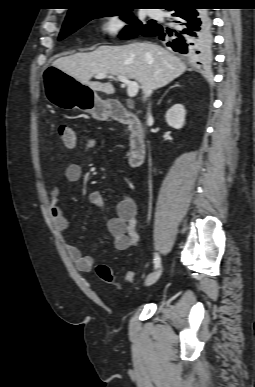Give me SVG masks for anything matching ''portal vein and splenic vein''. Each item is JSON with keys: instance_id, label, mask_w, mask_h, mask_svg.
<instances>
[{"instance_id": "1", "label": "portal vein and splenic vein", "mask_w": 255, "mask_h": 387, "mask_svg": "<svg viewBox=\"0 0 255 387\" xmlns=\"http://www.w3.org/2000/svg\"><path fill=\"white\" fill-rule=\"evenodd\" d=\"M106 76L107 75L105 73H99L95 77L97 79H103ZM117 80L127 85V94L130 98H133L137 95L139 90V85L136 81H130L127 77L121 76V75L117 76Z\"/></svg>"}]
</instances>
